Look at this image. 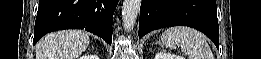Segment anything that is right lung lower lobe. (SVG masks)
<instances>
[{
    "label": "right lung lower lobe",
    "instance_id": "1",
    "mask_svg": "<svg viewBox=\"0 0 261 59\" xmlns=\"http://www.w3.org/2000/svg\"><path fill=\"white\" fill-rule=\"evenodd\" d=\"M119 0H40L33 45L45 34L85 29L112 42V21Z\"/></svg>",
    "mask_w": 261,
    "mask_h": 59
}]
</instances>
